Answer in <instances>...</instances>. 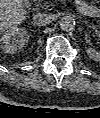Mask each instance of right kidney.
Listing matches in <instances>:
<instances>
[{"instance_id": "ca27d5eb", "label": "right kidney", "mask_w": 100, "mask_h": 118, "mask_svg": "<svg viewBox=\"0 0 100 118\" xmlns=\"http://www.w3.org/2000/svg\"><path fill=\"white\" fill-rule=\"evenodd\" d=\"M28 41L29 35L25 29L11 27L2 32L0 49L4 53L13 54L26 47Z\"/></svg>"}]
</instances>
